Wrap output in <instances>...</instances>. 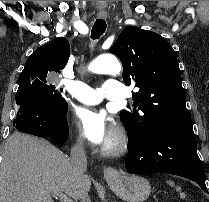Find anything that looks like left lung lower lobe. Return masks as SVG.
<instances>
[{
  "label": "left lung lower lobe",
  "mask_w": 209,
  "mask_h": 202,
  "mask_svg": "<svg viewBox=\"0 0 209 202\" xmlns=\"http://www.w3.org/2000/svg\"><path fill=\"white\" fill-rule=\"evenodd\" d=\"M125 161L131 174L169 173L195 181L206 193L204 168L192 124L171 127L148 140L129 139Z\"/></svg>",
  "instance_id": "obj_1"
}]
</instances>
